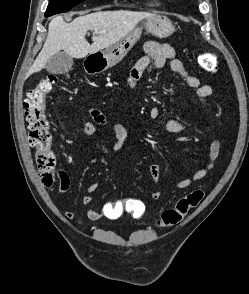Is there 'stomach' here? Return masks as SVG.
<instances>
[{
	"instance_id": "obj_1",
	"label": "stomach",
	"mask_w": 249,
	"mask_h": 294,
	"mask_svg": "<svg viewBox=\"0 0 249 294\" xmlns=\"http://www.w3.org/2000/svg\"><path fill=\"white\" fill-rule=\"evenodd\" d=\"M143 28L158 38L168 37L174 32V27L167 17L152 15L146 18L141 27L133 29L119 42L98 53H94L99 58L103 69L113 67L126 56V54L132 49L137 40L140 38Z\"/></svg>"
}]
</instances>
